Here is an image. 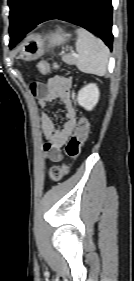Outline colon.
Here are the masks:
<instances>
[{"instance_id":"obj_1","label":"colon","mask_w":134,"mask_h":281,"mask_svg":"<svg viewBox=\"0 0 134 281\" xmlns=\"http://www.w3.org/2000/svg\"><path fill=\"white\" fill-rule=\"evenodd\" d=\"M58 68V64L45 60L40 61L38 64V70L43 75H46L50 73L51 70ZM88 134L89 122L87 118L83 116L79 119L75 131L66 145V153L70 158L76 160L80 156ZM68 169V166H54L50 169L49 176L53 181H59L68 172Z\"/></svg>"}]
</instances>
